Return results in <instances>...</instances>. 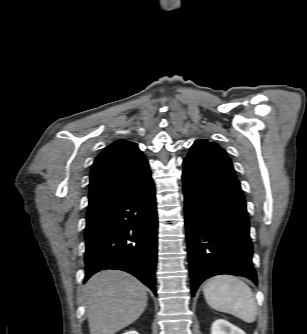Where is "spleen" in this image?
Here are the masks:
<instances>
[{"mask_svg": "<svg viewBox=\"0 0 307 334\" xmlns=\"http://www.w3.org/2000/svg\"><path fill=\"white\" fill-rule=\"evenodd\" d=\"M206 302L213 309L232 314L247 323H253L257 305L251 288L239 278L218 275L209 279L203 287Z\"/></svg>", "mask_w": 307, "mask_h": 334, "instance_id": "3e777b00", "label": "spleen"}]
</instances>
